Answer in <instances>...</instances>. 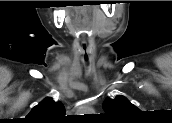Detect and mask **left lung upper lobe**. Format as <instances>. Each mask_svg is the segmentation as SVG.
I'll return each instance as SVG.
<instances>
[{"instance_id": "left-lung-upper-lobe-1", "label": "left lung upper lobe", "mask_w": 172, "mask_h": 123, "mask_svg": "<svg viewBox=\"0 0 172 123\" xmlns=\"http://www.w3.org/2000/svg\"><path fill=\"white\" fill-rule=\"evenodd\" d=\"M105 114L110 117L124 119L138 113L139 109L124 96H116L115 99L106 98L103 103Z\"/></svg>"}]
</instances>
